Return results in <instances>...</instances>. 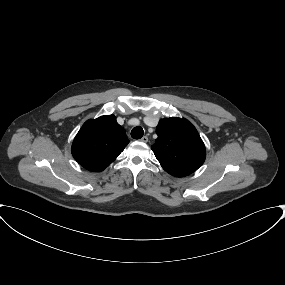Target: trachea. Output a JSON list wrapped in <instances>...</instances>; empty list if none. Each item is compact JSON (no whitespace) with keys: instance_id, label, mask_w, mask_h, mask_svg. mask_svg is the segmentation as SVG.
Wrapping results in <instances>:
<instances>
[{"instance_id":"trachea-1","label":"trachea","mask_w":285,"mask_h":285,"mask_svg":"<svg viewBox=\"0 0 285 285\" xmlns=\"http://www.w3.org/2000/svg\"><path fill=\"white\" fill-rule=\"evenodd\" d=\"M143 134H144V130L140 126L134 127L131 131V137L133 139H140L142 138Z\"/></svg>"}]
</instances>
